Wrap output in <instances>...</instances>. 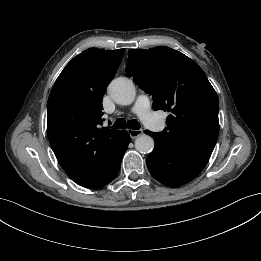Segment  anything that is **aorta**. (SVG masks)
I'll use <instances>...</instances> for the list:
<instances>
[{
    "label": "aorta",
    "mask_w": 261,
    "mask_h": 261,
    "mask_svg": "<svg viewBox=\"0 0 261 261\" xmlns=\"http://www.w3.org/2000/svg\"><path fill=\"white\" fill-rule=\"evenodd\" d=\"M108 93L117 104L130 105L135 100L136 88L130 79L118 77L109 84ZM135 148L140 153H150L154 148V140L143 134L135 140Z\"/></svg>",
    "instance_id": "762f6f07"
}]
</instances>
